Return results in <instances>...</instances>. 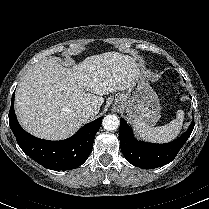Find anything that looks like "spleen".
<instances>
[{
	"label": "spleen",
	"mask_w": 209,
	"mask_h": 209,
	"mask_svg": "<svg viewBox=\"0 0 209 209\" xmlns=\"http://www.w3.org/2000/svg\"><path fill=\"white\" fill-rule=\"evenodd\" d=\"M184 121V111L178 110L176 119H173L170 123L160 126L152 127L134 120L136 129L144 140L154 143H167L174 140L180 133Z\"/></svg>",
	"instance_id": "1"
}]
</instances>
